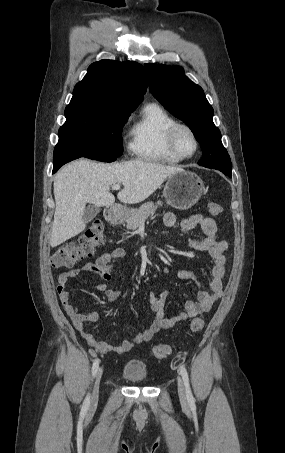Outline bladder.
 <instances>
[{
    "label": "bladder",
    "mask_w": 285,
    "mask_h": 453,
    "mask_svg": "<svg viewBox=\"0 0 285 453\" xmlns=\"http://www.w3.org/2000/svg\"><path fill=\"white\" fill-rule=\"evenodd\" d=\"M122 375L125 379L131 382L141 383L147 378V370L143 363L130 361L124 366Z\"/></svg>",
    "instance_id": "obj_1"
}]
</instances>
